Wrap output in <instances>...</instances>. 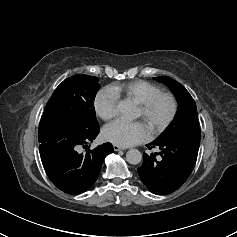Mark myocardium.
Returning a JSON list of instances; mask_svg holds the SVG:
<instances>
[{"instance_id":"obj_1","label":"myocardium","mask_w":237,"mask_h":237,"mask_svg":"<svg viewBox=\"0 0 237 237\" xmlns=\"http://www.w3.org/2000/svg\"><path fill=\"white\" fill-rule=\"evenodd\" d=\"M163 98L169 100V102L171 104V109H170L168 116L164 120H162L161 122H159L151 127L150 133H151L152 137L158 135L163 130H165L169 126V124L174 120V118L177 114V111H178L177 99L172 93L158 92V93L150 96L146 100L137 103V107L139 108V110L141 112V118L145 121V120L149 119L151 112H152L154 106L156 105V103Z\"/></svg>"}]
</instances>
